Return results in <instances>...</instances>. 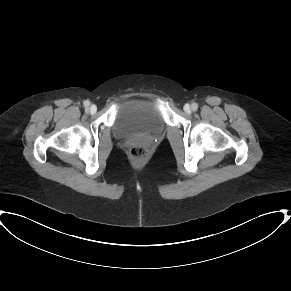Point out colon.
Here are the masks:
<instances>
[{
	"label": "colon",
	"mask_w": 291,
	"mask_h": 291,
	"mask_svg": "<svg viewBox=\"0 0 291 291\" xmlns=\"http://www.w3.org/2000/svg\"><path fill=\"white\" fill-rule=\"evenodd\" d=\"M148 156L149 150L141 144L135 145L129 150V158L136 165L143 164Z\"/></svg>",
	"instance_id": "obj_1"
}]
</instances>
